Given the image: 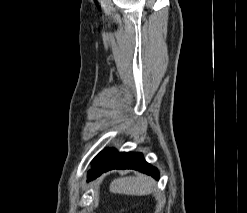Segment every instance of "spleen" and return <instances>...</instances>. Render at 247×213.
I'll list each match as a JSON object with an SVG mask.
<instances>
[{
    "mask_svg": "<svg viewBox=\"0 0 247 213\" xmlns=\"http://www.w3.org/2000/svg\"><path fill=\"white\" fill-rule=\"evenodd\" d=\"M109 189L115 194L144 196L155 190V181L146 175L129 176L113 180Z\"/></svg>",
    "mask_w": 247,
    "mask_h": 213,
    "instance_id": "1",
    "label": "spleen"
}]
</instances>
